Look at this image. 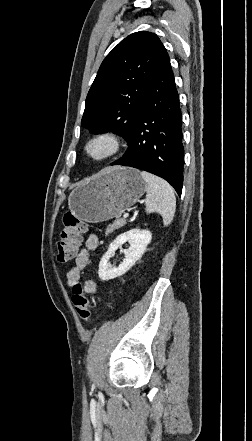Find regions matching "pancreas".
I'll return each mask as SVG.
<instances>
[{
    "instance_id": "pancreas-1",
    "label": "pancreas",
    "mask_w": 252,
    "mask_h": 441,
    "mask_svg": "<svg viewBox=\"0 0 252 441\" xmlns=\"http://www.w3.org/2000/svg\"><path fill=\"white\" fill-rule=\"evenodd\" d=\"M125 225H126V220H124V219L116 220L115 222H113V224L108 225V227L106 228V234L112 233L113 231H115Z\"/></svg>"
}]
</instances>
